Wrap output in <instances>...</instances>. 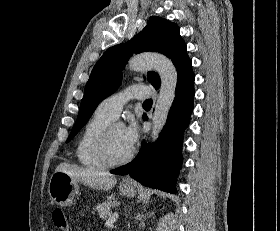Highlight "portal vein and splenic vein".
<instances>
[{"label": "portal vein and splenic vein", "mask_w": 280, "mask_h": 231, "mask_svg": "<svg viewBox=\"0 0 280 231\" xmlns=\"http://www.w3.org/2000/svg\"><path fill=\"white\" fill-rule=\"evenodd\" d=\"M118 217V213H112V215H110V217H108L105 225H113V223H115L116 219Z\"/></svg>", "instance_id": "1"}]
</instances>
